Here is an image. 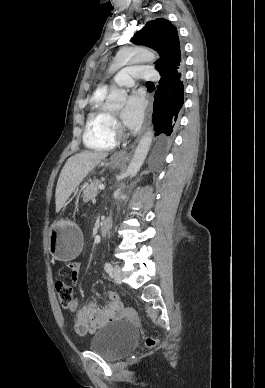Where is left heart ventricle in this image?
<instances>
[{
	"instance_id": "obj_1",
	"label": "left heart ventricle",
	"mask_w": 265,
	"mask_h": 388,
	"mask_svg": "<svg viewBox=\"0 0 265 388\" xmlns=\"http://www.w3.org/2000/svg\"><path fill=\"white\" fill-rule=\"evenodd\" d=\"M133 88V83H132V86H118L117 83H115L114 87L111 89V91H131ZM109 97V96H108ZM119 113H116L115 115H117Z\"/></svg>"
}]
</instances>
